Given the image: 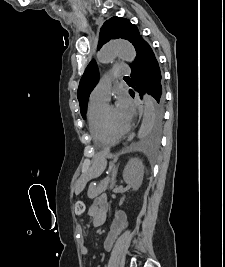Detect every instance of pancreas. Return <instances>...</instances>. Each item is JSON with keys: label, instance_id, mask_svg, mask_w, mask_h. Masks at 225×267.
<instances>
[{"label": "pancreas", "instance_id": "cf45deb5", "mask_svg": "<svg viewBox=\"0 0 225 267\" xmlns=\"http://www.w3.org/2000/svg\"><path fill=\"white\" fill-rule=\"evenodd\" d=\"M109 182H111V181L108 178L107 182L102 181L97 186L90 184L89 188H88V197L90 199H93V198L97 197L98 195H100L101 193H103L107 189Z\"/></svg>", "mask_w": 225, "mask_h": 267}]
</instances>
